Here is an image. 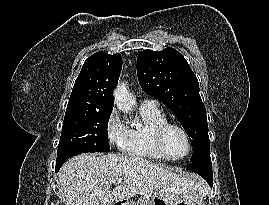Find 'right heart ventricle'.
Returning <instances> with one entry per match:
<instances>
[{
  "mask_svg": "<svg viewBox=\"0 0 269 205\" xmlns=\"http://www.w3.org/2000/svg\"><path fill=\"white\" fill-rule=\"evenodd\" d=\"M140 117L142 124L128 129L124 153L133 158L164 161L153 146L152 133L157 125L167 120L165 114L159 108L141 106Z\"/></svg>",
  "mask_w": 269,
  "mask_h": 205,
  "instance_id": "right-heart-ventricle-1",
  "label": "right heart ventricle"
}]
</instances>
